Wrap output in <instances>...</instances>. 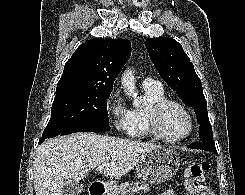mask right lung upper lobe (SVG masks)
I'll list each match as a JSON object with an SVG mask.
<instances>
[{
    "instance_id": "obj_1",
    "label": "right lung upper lobe",
    "mask_w": 245,
    "mask_h": 195,
    "mask_svg": "<svg viewBox=\"0 0 245 195\" xmlns=\"http://www.w3.org/2000/svg\"><path fill=\"white\" fill-rule=\"evenodd\" d=\"M130 55L131 43L128 40H88L66 62L56 92L79 89L111 92L116 76Z\"/></svg>"
}]
</instances>
